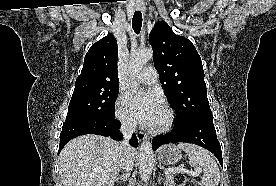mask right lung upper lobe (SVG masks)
<instances>
[{
  "label": "right lung upper lobe",
  "mask_w": 276,
  "mask_h": 186,
  "mask_svg": "<svg viewBox=\"0 0 276 186\" xmlns=\"http://www.w3.org/2000/svg\"><path fill=\"white\" fill-rule=\"evenodd\" d=\"M118 46L115 37L108 34L91 46L84 58L81 74L75 88L118 86Z\"/></svg>",
  "instance_id": "right-lung-upper-lobe-1"
}]
</instances>
